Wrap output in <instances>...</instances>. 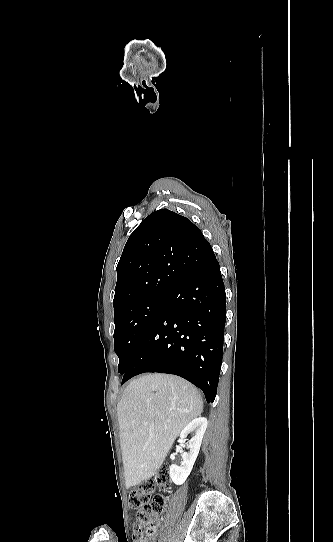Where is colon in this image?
<instances>
[{
    "mask_svg": "<svg viewBox=\"0 0 333 542\" xmlns=\"http://www.w3.org/2000/svg\"><path fill=\"white\" fill-rule=\"evenodd\" d=\"M170 485V471L167 465H162L157 469L154 477L140 482L138 487L129 495V505L135 510L131 518V523L136 526L129 531L131 540H140L145 537H152L156 534L158 528V514L164 506V499L158 497L152 503L150 498L155 494V490H167Z\"/></svg>",
    "mask_w": 333,
    "mask_h": 542,
    "instance_id": "5ec220e1",
    "label": "colon"
}]
</instances>
